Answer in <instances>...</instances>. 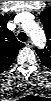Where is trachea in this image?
Returning <instances> with one entry per match:
<instances>
[{
  "mask_svg": "<svg viewBox=\"0 0 51 101\" xmlns=\"http://www.w3.org/2000/svg\"><path fill=\"white\" fill-rule=\"evenodd\" d=\"M18 39L22 42H26L28 37L27 35L24 33V32H20L19 35H18Z\"/></svg>",
  "mask_w": 51,
  "mask_h": 101,
  "instance_id": "obj_1",
  "label": "trachea"
}]
</instances>
